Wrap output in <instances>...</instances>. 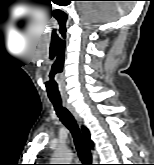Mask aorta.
<instances>
[{"label": "aorta", "mask_w": 154, "mask_h": 165, "mask_svg": "<svg viewBox=\"0 0 154 165\" xmlns=\"http://www.w3.org/2000/svg\"><path fill=\"white\" fill-rule=\"evenodd\" d=\"M73 155L67 148H59L55 151L51 164H71Z\"/></svg>", "instance_id": "1"}]
</instances>
